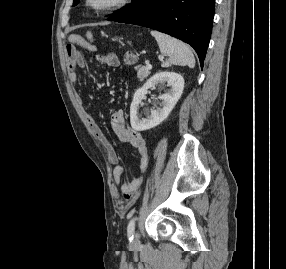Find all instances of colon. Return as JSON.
I'll list each match as a JSON object with an SVG mask.
<instances>
[{"mask_svg": "<svg viewBox=\"0 0 286 269\" xmlns=\"http://www.w3.org/2000/svg\"><path fill=\"white\" fill-rule=\"evenodd\" d=\"M122 66H135V62H138L139 59V49H126V54H123ZM130 193L124 191V196L128 199Z\"/></svg>", "mask_w": 286, "mask_h": 269, "instance_id": "colon-1", "label": "colon"}]
</instances>
